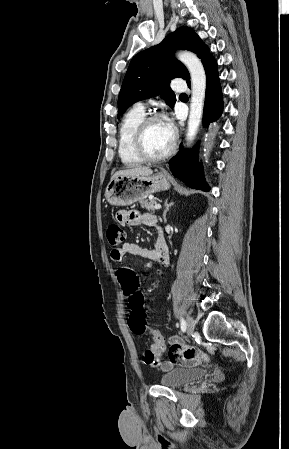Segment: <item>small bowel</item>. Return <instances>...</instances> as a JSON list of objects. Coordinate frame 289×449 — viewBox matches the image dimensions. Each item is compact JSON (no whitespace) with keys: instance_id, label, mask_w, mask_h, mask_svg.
Segmentation results:
<instances>
[{"instance_id":"obj_1","label":"small bowel","mask_w":289,"mask_h":449,"mask_svg":"<svg viewBox=\"0 0 289 449\" xmlns=\"http://www.w3.org/2000/svg\"><path fill=\"white\" fill-rule=\"evenodd\" d=\"M117 219L123 225L135 226L145 224L157 227V221L154 216L140 214L135 210H121L117 215ZM126 255L147 258L164 266H167L170 261L168 247L162 235H159L153 249L143 248L136 243L125 242L120 247L112 249L110 253L111 259L117 263H120ZM164 347L168 350L167 356L169 360L159 361L157 367L162 371H169L175 365H179L182 369H196L197 364H200L202 367L208 363L210 367L213 365L210 353L203 354L196 346H185L183 338L177 335L169 337L168 343Z\"/></svg>"}]
</instances>
